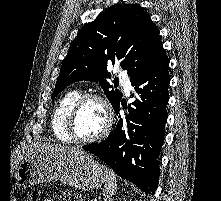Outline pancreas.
<instances>
[{"mask_svg":"<svg viewBox=\"0 0 221 201\" xmlns=\"http://www.w3.org/2000/svg\"><path fill=\"white\" fill-rule=\"evenodd\" d=\"M76 201H82L81 196H78V195H77Z\"/></svg>","mask_w":221,"mask_h":201,"instance_id":"pancreas-1","label":"pancreas"}]
</instances>
